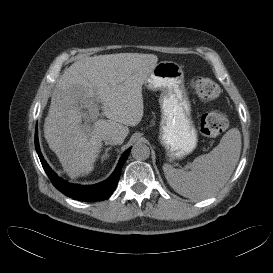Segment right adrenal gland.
I'll return each instance as SVG.
<instances>
[{
    "mask_svg": "<svg viewBox=\"0 0 273 273\" xmlns=\"http://www.w3.org/2000/svg\"><path fill=\"white\" fill-rule=\"evenodd\" d=\"M112 149V147H108L105 149L104 154L101 157V162L103 163L104 160H107L109 158L108 152Z\"/></svg>",
    "mask_w": 273,
    "mask_h": 273,
    "instance_id": "obj_1",
    "label": "right adrenal gland"
}]
</instances>
